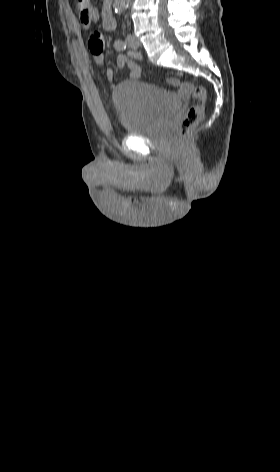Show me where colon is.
Instances as JSON below:
<instances>
[{"instance_id":"1","label":"colon","mask_w":280,"mask_h":472,"mask_svg":"<svg viewBox=\"0 0 280 472\" xmlns=\"http://www.w3.org/2000/svg\"><path fill=\"white\" fill-rule=\"evenodd\" d=\"M80 22L83 27H90L96 18V9L90 0H76ZM195 103L190 106L182 116L179 123V135L185 139L189 136L194 126L199 122L203 114L206 100V90L202 86H196L192 90Z\"/></svg>"}]
</instances>
